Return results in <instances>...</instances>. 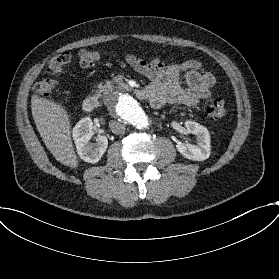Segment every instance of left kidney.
Returning <instances> with one entry per match:
<instances>
[{
  "label": "left kidney",
  "instance_id": "obj_1",
  "mask_svg": "<svg viewBox=\"0 0 279 279\" xmlns=\"http://www.w3.org/2000/svg\"><path fill=\"white\" fill-rule=\"evenodd\" d=\"M185 127L188 133L196 137V142L194 144L176 142L175 149L184 158L198 162L205 161L209 158L211 152L209 131L193 121H186Z\"/></svg>",
  "mask_w": 279,
  "mask_h": 279
}]
</instances>
